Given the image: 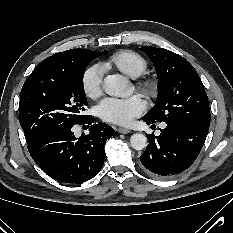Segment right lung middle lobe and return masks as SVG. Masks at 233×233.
<instances>
[{"label": "right lung middle lobe", "instance_id": "1", "mask_svg": "<svg viewBox=\"0 0 233 233\" xmlns=\"http://www.w3.org/2000/svg\"><path fill=\"white\" fill-rule=\"evenodd\" d=\"M90 50L70 51L63 64L38 65L21 89L19 122L26 141L31 142L52 129L81 122L87 115L83 74L87 64L103 55Z\"/></svg>", "mask_w": 233, "mask_h": 233}]
</instances>
